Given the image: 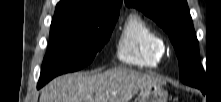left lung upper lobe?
Segmentation results:
<instances>
[{"label":"left lung upper lobe","instance_id":"1","mask_svg":"<svg viewBox=\"0 0 221 102\" xmlns=\"http://www.w3.org/2000/svg\"><path fill=\"white\" fill-rule=\"evenodd\" d=\"M125 4L141 10L169 34L178 57L180 80L203 90L205 74L198 61V40L186 0H125Z\"/></svg>","mask_w":221,"mask_h":102}]
</instances>
